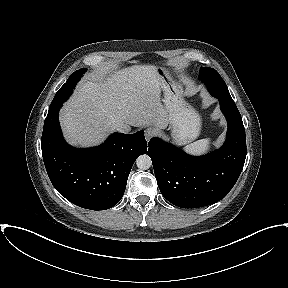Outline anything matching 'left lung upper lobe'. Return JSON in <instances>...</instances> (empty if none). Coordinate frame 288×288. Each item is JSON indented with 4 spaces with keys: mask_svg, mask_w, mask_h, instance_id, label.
<instances>
[{
    "mask_svg": "<svg viewBox=\"0 0 288 288\" xmlns=\"http://www.w3.org/2000/svg\"><path fill=\"white\" fill-rule=\"evenodd\" d=\"M199 78L206 83L209 92L213 96L228 102H234L230 96L226 83L216 70L208 67H201Z\"/></svg>",
    "mask_w": 288,
    "mask_h": 288,
    "instance_id": "5c2ea615",
    "label": "left lung upper lobe"
}]
</instances>
